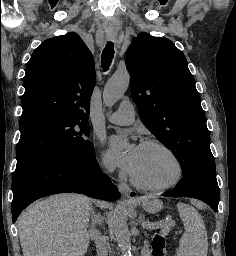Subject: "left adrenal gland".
Wrapping results in <instances>:
<instances>
[{
    "mask_svg": "<svg viewBox=\"0 0 236 256\" xmlns=\"http://www.w3.org/2000/svg\"><path fill=\"white\" fill-rule=\"evenodd\" d=\"M139 222H141V216H140V218H139Z\"/></svg>",
    "mask_w": 236,
    "mask_h": 256,
    "instance_id": "1",
    "label": "left adrenal gland"
}]
</instances>
